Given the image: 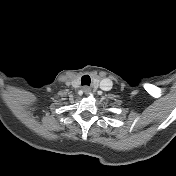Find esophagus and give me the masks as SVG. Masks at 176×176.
Returning <instances> with one entry per match:
<instances>
[{"mask_svg": "<svg viewBox=\"0 0 176 176\" xmlns=\"http://www.w3.org/2000/svg\"><path fill=\"white\" fill-rule=\"evenodd\" d=\"M83 91H84L85 93H89V92H90V89H89L88 87H84V88H83Z\"/></svg>", "mask_w": 176, "mask_h": 176, "instance_id": "esophagus-1", "label": "esophagus"}]
</instances>
